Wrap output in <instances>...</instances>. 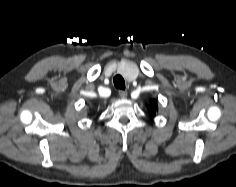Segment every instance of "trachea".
<instances>
[{"mask_svg":"<svg viewBox=\"0 0 236 187\" xmlns=\"http://www.w3.org/2000/svg\"><path fill=\"white\" fill-rule=\"evenodd\" d=\"M113 82H114V85L117 89H122V90L125 89V82H124V79L121 75H116L113 78Z\"/></svg>","mask_w":236,"mask_h":187,"instance_id":"1","label":"trachea"}]
</instances>
